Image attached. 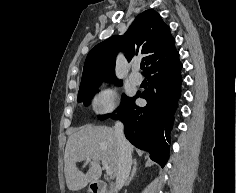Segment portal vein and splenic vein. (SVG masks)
Instances as JSON below:
<instances>
[{
    "label": "portal vein and splenic vein",
    "instance_id": "portal-vein-and-splenic-vein-1",
    "mask_svg": "<svg viewBox=\"0 0 237 193\" xmlns=\"http://www.w3.org/2000/svg\"><path fill=\"white\" fill-rule=\"evenodd\" d=\"M91 158L88 157L87 158V161H90ZM102 165H103V168L106 169V174L108 176H112L113 175V171L111 170V168L108 166L107 162L105 160H102Z\"/></svg>",
    "mask_w": 237,
    "mask_h": 193
}]
</instances>
